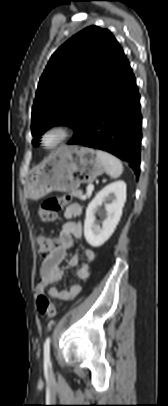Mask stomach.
I'll return each instance as SVG.
<instances>
[{"label": "stomach", "mask_w": 168, "mask_h": 406, "mask_svg": "<svg viewBox=\"0 0 168 406\" xmlns=\"http://www.w3.org/2000/svg\"><path fill=\"white\" fill-rule=\"evenodd\" d=\"M104 171L92 148L62 146L30 177L27 196L38 200L52 191L71 192L81 183H91Z\"/></svg>", "instance_id": "stomach-1"}]
</instances>
